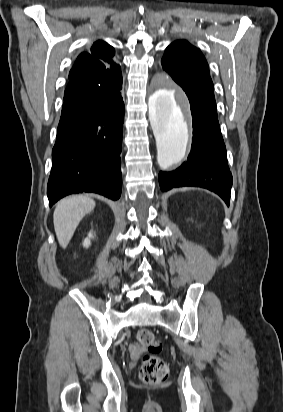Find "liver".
<instances>
[{
  "label": "liver",
  "instance_id": "6515ba94",
  "mask_svg": "<svg viewBox=\"0 0 283 412\" xmlns=\"http://www.w3.org/2000/svg\"><path fill=\"white\" fill-rule=\"evenodd\" d=\"M94 207L93 199L81 195L65 198L57 204L53 223L56 237L62 248L67 247L80 221Z\"/></svg>",
  "mask_w": 283,
  "mask_h": 412
}]
</instances>
